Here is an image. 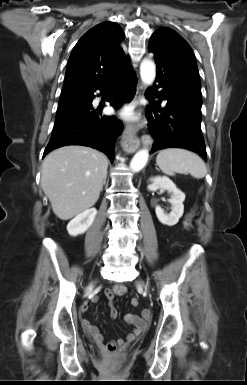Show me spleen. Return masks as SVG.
I'll use <instances>...</instances> for the list:
<instances>
[{
  "mask_svg": "<svg viewBox=\"0 0 247 385\" xmlns=\"http://www.w3.org/2000/svg\"><path fill=\"white\" fill-rule=\"evenodd\" d=\"M156 163L162 172L169 176L175 173L191 174L194 178L201 179L207 174L206 164L201 157L181 148L161 150L156 157Z\"/></svg>",
  "mask_w": 247,
  "mask_h": 385,
  "instance_id": "1",
  "label": "spleen"
}]
</instances>
